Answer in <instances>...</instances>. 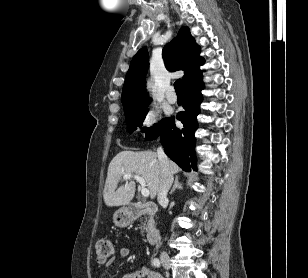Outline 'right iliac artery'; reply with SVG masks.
<instances>
[{
    "label": "right iliac artery",
    "instance_id": "right-iliac-artery-1",
    "mask_svg": "<svg viewBox=\"0 0 308 278\" xmlns=\"http://www.w3.org/2000/svg\"><path fill=\"white\" fill-rule=\"evenodd\" d=\"M152 264H153V266H155V267H160V265H161V262H160V260L158 259V258H154L153 260H152Z\"/></svg>",
    "mask_w": 308,
    "mask_h": 278
}]
</instances>
